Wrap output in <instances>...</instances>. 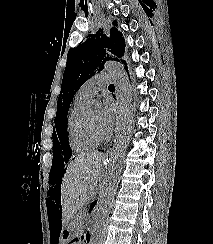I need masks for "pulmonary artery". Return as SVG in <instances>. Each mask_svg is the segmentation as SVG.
<instances>
[{"label":"pulmonary artery","instance_id":"obj_1","mask_svg":"<svg viewBox=\"0 0 213 244\" xmlns=\"http://www.w3.org/2000/svg\"><path fill=\"white\" fill-rule=\"evenodd\" d=\"M112 76L108 73H98L88 79L79 89L77 94L85 99H91L101 88L108 86Z\"/></svg>","mask_w":213,"mask_h":244}]
</instances>
